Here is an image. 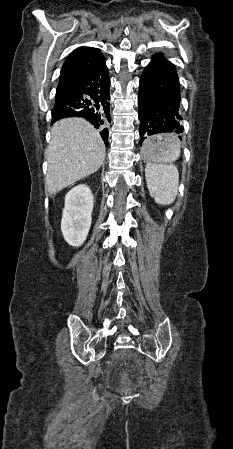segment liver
I'll use <instances>...</instances> for the list:
<instances>
[{
	"label": "liver",
	"mask_w": 233,
	"mask_h": 449,
	"mask_svg": "<svg viewBox=\"0 0 233 449\" xmlns=\"http://www.w3.org/2000/svg\"><path fill=\"white\" fill-rule=\"evenodd\" d=\"M51 134L45 187L54 194L95 173L105 159V145L83 118L61 119L53 125Z\"/></svg>",
	"instance_id": "obj_1"
}]
</instances>
